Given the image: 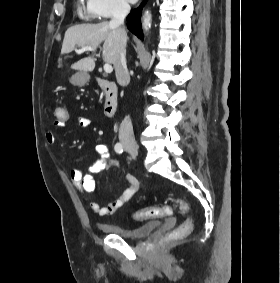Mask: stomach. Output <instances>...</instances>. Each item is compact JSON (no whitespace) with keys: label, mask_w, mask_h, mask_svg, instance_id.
Masks as SVG:
<instances>
[{"label":"stomach","mask_w":280,"mask_h":283,"mask_svg":"<svg viewBox=\"0 0 280 283\" xmlns=\"http://www.w3.org/2000/svg\"><path fill=\"white\" fill-rule=\"evenodd\" d=\"M89 80V75L86 72H78L70 78V82L74 85H83Z\"/></svg>","instance_id":"stomach-1"}]
</instances>
